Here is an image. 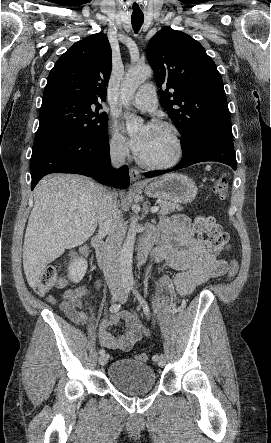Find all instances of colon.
Here are the masks:
<instances>
[{
  "instance_id": "obj_1",
  "label": "colon",
  "mask_w": 271,
  "mask_h": 443,
  "mask_svg": "<svg viewBox=\"0 0 271 443\" xmlns=\"http://www.w3.org/2000/svg\"><path fill=\"white\" fill-rule=\"evenodd\" d=\"M212 191L220 199L227 197V183L224 179L217 180L213 186ZM193 229L196 232L199 241L212 253L219 254L225 251L229 245V236L223 231L222 227L211 216L198 215L193 224ZM81 252H86V248H82ZM238 271V264L235 260L230 261L228 269V277L232 279L236 276ZM65 284V280L59 277L57 268L54 266H47L41 272L38 280L34 283V291L40 295H47L53 288H61ZM135 358L141 362L148 361V355L145 353H138Z\"/></svg>"
}]
</instances>
